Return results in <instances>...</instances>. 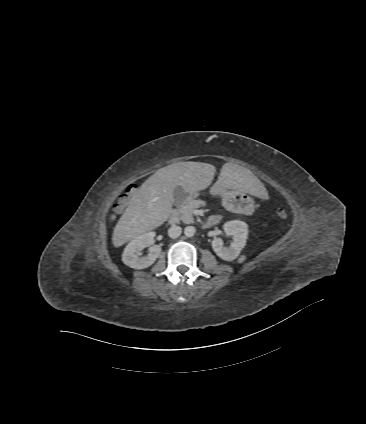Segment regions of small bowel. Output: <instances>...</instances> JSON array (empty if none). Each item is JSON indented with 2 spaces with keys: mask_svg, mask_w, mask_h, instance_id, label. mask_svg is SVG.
I'll list each match as a JSON object with an SVG mask.
<instances>
[{
  "mask_svg": "<svg viewBox=\"0 0 366 424\" xmlns=\"http://www.w3.org/2000/svg\"><path fill=\"white\" fill-rule=\"evenodd\" d=\"M220 218H221L220 215L217 214L212 216L210 220L215 224L220 220Z\"/></svg>",
  "mask_w": 366,
  "mask_h": 424,
  "instance_id": "1",
  "label": "small bowel"
}]
</instances>
